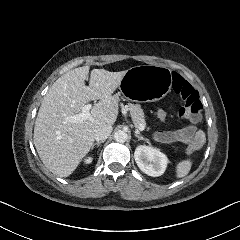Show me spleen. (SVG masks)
<instances>
[{
	"label": "spleen",
	"instance_id": "spleen-1",
	"mask_svg": "<svg viewBox=\"0 0 240 240\" xmlns=\"http://www.w3.org/2000/svg\"><path fill=\"white\" fill-rule=\"evenodd\" d=\"M191 166H192V162L189 159L179 162L176 166L177 177L181 178L186 176L189 173Z\"/></svg>",
	"mask_w": 240,
	"mask_h": 240
}]
</instances>
